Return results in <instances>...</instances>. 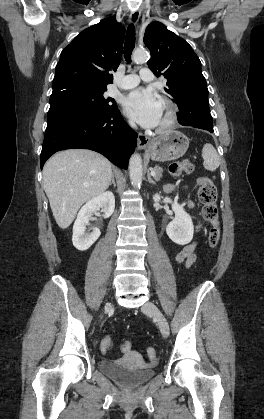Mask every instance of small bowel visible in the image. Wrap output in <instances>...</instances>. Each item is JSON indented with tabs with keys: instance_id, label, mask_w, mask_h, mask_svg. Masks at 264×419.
<instances>
[{
	"instance_id": "obj_1",
	"label": "small bowel",
	"mask_w": 264,
	"mask_h": 419,
	"mask_svg": "<svg viewBox=\"0 0 264 419\" xmlns=\"http://www.w3.org/2000/svg\"><path fill=\"white\" fill-rule=\"evenodd\" d=\"M174 188H175L174 185L166 186L167 191H173ZM188 206L193 207V203L191 201H189ZM199 228H200V224L197 225V229H199ZM196 247H197V242L196 241H193L190 244L185 245L183 247V249L175 256V261L178 264H184L186 268H189L197 260V256L195 254ZM124 343H126V342H124ZM123 344L121 346V351L124 354H129L131 349L125 350L123 348Z\"/></svg>"
}]
</instances>
